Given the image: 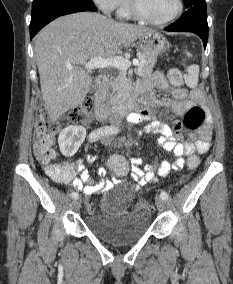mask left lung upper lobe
Instances as JSON below:
<instances>
[{
    "label": "left lung upper lobe",
    "mask_w": 233,
    "mask_h": 284,
    "mask_svg": "<svg viewBox=\"0 0 233 284\" xmlns=\"http://www.w3.org/2000/svg\"><path fill=\"white\" fill-rule=\"evenodd\" d=\"M184 2H185V7L190 9L193 6L205 3V0H184Z\"/></svg>",
    "instance_id": "5c2ea615"
}]
</instances>
